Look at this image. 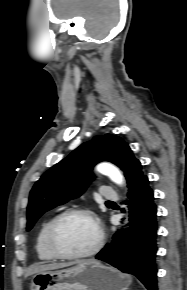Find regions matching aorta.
<instances>
[{"label": "aorta", "mask_w": 187, "mask_h": 290, "mask_svg": "<svg viewBox=\"0 0 187 290\" xmlns=\"http://www.w3.org/2000/svg\"><path fill=\"white\" fill-rule=\"evenodd\" d=\"M97 170L108 176L116 184L121 185L123 183V176L115 166L110 164H100L97 167Z\"/></svg>", "instance_id": "aorta-1"}]
</instances>
